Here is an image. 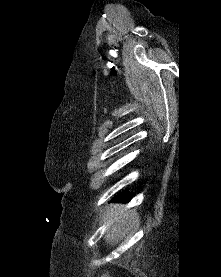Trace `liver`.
I'll return each instance as SVG.
<instances>
[{
    "mask_svg": "<svg viewBox=\"0 0 221 277\" xmlns=\"http://www.w3.org/2000/svg\"><path fill=\"white\" fill-rule=\"evenodd\" d=\"M117 211L107 210L104 214L106 220L112 218ZM137 212L135 210H128L117 217L112 226L110 232L106 234V242L111 245L118 243V241L126 236L133 227V223L137 220ZM101 277H109V274H103Z\"/></svg>",
    "mask_w": 221,
    "mask_h": 277,
    "instance_id": "1",
    "label": "liver"
}]
</instances>
